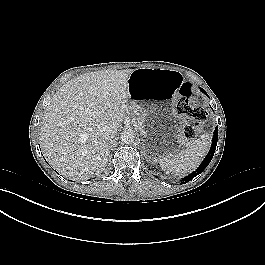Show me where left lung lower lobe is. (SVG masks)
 I'll return each mask as SVG.
<instances>
[{
    "label": "left lung lower lobe",
    "instance_id": "obj_1",
    "mask_svg": "<svg viewBox=\"0 0 265 265\" xmlns=\"http://www.w3.org/2000/svg\"><path fill=\"white\" fill-rule=\"evenodd\" d=\"M201 90L207 95V93L203 89H201ZM217 140H218V127H216L214 130L212 146H211L210 151L208 152L207 156L202 161L201 165L197 168V170L194 171L193 173H191L190 175L186 176L185 178H183L181 180V183L185 184V183L189 182L195 176L199 175L208 166L211 159L213 158V155H214V152L216 149V145H217Z\"/></svg>",
    "mask_w": 265,
    "mask_h": 265
}]
</instances>
